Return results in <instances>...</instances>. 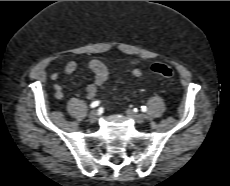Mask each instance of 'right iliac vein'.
<instances>
[{
	"mask_svg": "<svg viewBox=\"0 0 230 186\" xmlns=\"http://www.w3.org/2000/svg\"><path fill=\"white\" fill-rule=\"evenodd\" d=\"M98 118H99V114L96 110H93L90 112V114H89L90 121L96 122L98 120Z\"/></svg>",
	"mask_w": 230,
	"mask_h": 186,
	"instance_id": "63e3f726",
	"label": "right iliac vein"
}]
</instances>
